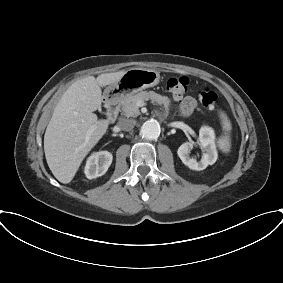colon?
<instances>
[{"instance_id": "colon-1", "label": "colon", "mask_w": 283, "mask_h": 283, "mask_svg": "<svg viewBox=\"0 0 283 283\" xmlns=\"http://www.w3.org/2000/svg\"><path fill=\"white\" fill-rule=\"evenodd\" d=\"M189 80L186 77H172L167 82V89L173 97H181L188 89ZM198 98L201 105L209 111H213L217 106V95L208 88L198 91Z\"/></svg>"}]
</instances>
